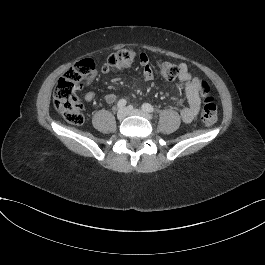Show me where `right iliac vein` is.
Masks as SVG:
<instances>
[{
    "mask_svg": "<svg viewBox=\"0 0 265 265\" xmlns=\"http://www.w3.org/2000/svg\"><path fill=\"white\" fill-rule=\"evenodd\" d=\"M127 116V110L124 108H121L117 112V119L123 120Z\"/></svg>",
    "mask_w": 265,
    "mask_h": 265,
    "instance_id": "63e3f726",
    "label": "right iliac vein"
}]
</instances>
